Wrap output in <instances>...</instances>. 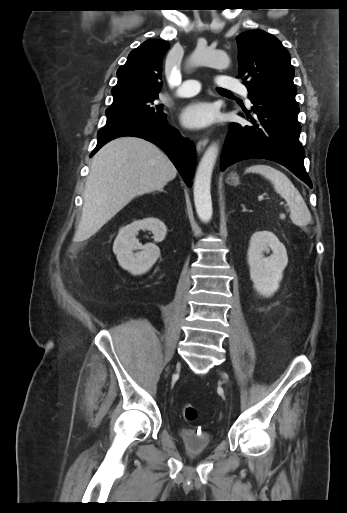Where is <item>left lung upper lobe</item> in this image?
<instances>
[{"mask_svg":"<svg viewBox=\"0 0 347 513\" xmlns=\"http://www.w3.org/2000/svg\"><path fill=\"white\" fill-rule=\"evenodd\" d=\"M236 40L238 78L244 80L249 93L296 94L290 55L276 37L253 30L239 34Z\"/></svg>","mask_w":347,"mask_h":513,"instance_id":"obj_1","label":"left lung upper lobe"}]
</instances>
